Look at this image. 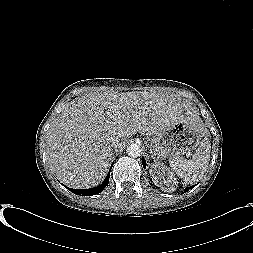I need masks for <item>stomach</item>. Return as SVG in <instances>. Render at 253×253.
<instances>
[{
	"instance_id": "stomach-1",
	"label": "stomach",
	"mask_w": 253,
	"mask_h": 253,
	"mask_svg": "<svg viewBox=\"0 0 253 253\" xmlns=\"http://www.w3.org/2000/svg\"><path fill=\"white\" fill-rule=\"evenodd\" d=\"M204 136L203 131L192 121H177L166 130L150 139L153 158L165 159L183 157L196 149Z\"/></svg>"
}]
</instances>
